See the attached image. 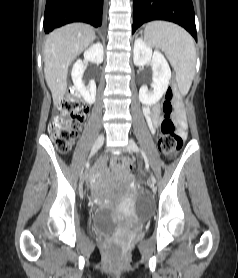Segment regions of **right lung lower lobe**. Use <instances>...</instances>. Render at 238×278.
<instances>
[{
    "instance_id": "obj_1",
    "label": "right lung lower lobe",
    "mask_w": 238,
    "mask_h": 278,
    "mask_svg": "<svg viewBox=\"0 0 238 278\" xmlns=\"http://www.w3.org/2000/svg\"><path fill=\"white\" fill-rule=\"evenodd\" d=\"M104 0H47L44 14V31L71 22H85L99 27L102 24Z\"/></svg>"
}]
</instances>
